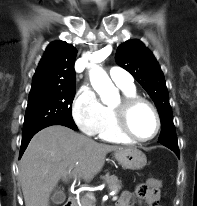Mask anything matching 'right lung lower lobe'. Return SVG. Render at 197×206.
Here are the masks:
<instances>
[{
  "label": "right lung lower lobe",
  "mask_w": 197,
  "mask_h": 206,
  "mask_svg": "<svg viewBox=\"0 0 197 206\" xmlns=\"http://www.w3.org/2000/svg\"><path fill=\"white\" fill-rule=\"evenodd\" d=\"M51 125H63V126H66V127H69L73 130H77V127H74V126H71V125H67V124H47V125H43V126H40L36 129H33L27 133H23L22 135V143H21V149H20V157L22 156V154L24 153L25 149L27 148L31 138L37 133L39 132L40 130L48 127V126H51Z\"/></svg>",
  "instance_id": "1"
}]
</instances>
